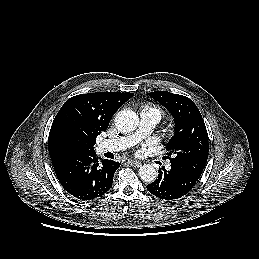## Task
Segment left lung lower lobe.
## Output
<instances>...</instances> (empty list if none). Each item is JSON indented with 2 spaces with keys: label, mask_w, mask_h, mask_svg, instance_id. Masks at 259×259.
<instances>
[{
  "label": "left lung lower lobe",
  "mask_w": 259,
  "mask_h": 259,
  "mask_svg": "<svg viewBox=\"0 0 259 259\" xmlns=\"http://www.w3.org/2000/svg\"><path fill=\"white\" fill-rule=\"evenodd\" d=\"M158 178L147 185V190L156 197L166 200L179 199L186 195L196 184V178L182 167L171 164L167 171L162 168L158 171Z\"/></svg>",
  "instance_id": "1"
}]
</instances>
